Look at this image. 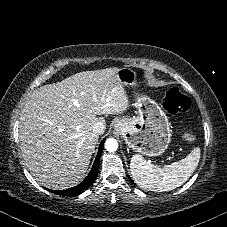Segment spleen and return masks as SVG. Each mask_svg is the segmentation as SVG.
Wrapping results in <instances>:
<instances>
[{"mask_svg": "<svg viewBox=\"0 0 227 227\" xmlns=\"http://www.w3.org/2000/svg\"><path fill=\"white\" fill-rule=\"evenodd\" d=\"M200 159V148H194L185 158L164 167L133 155L130 170L139 187L154 192L170 191L185 183L193 174Z\"/></svg>", "mask_w": 227, "mask_h": 227, "instance_id": "obj_1", "label": "spleen"}]
</instances>
